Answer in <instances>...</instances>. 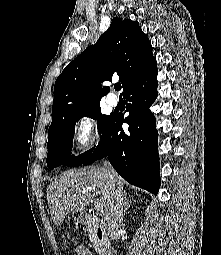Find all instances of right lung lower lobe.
Returning a JSON list of instances; mask_svg holds the SVG:
<instances>
[{
  "label": "right lung lower lobe",
  "instance_id": "1",
  "mask_svg": "<svg viewBox=\"0 0 221 255\" xmlns=\"http://www.w3.org/2000/svg\"><path fill=\"white\" fill-rule=\"evenodd\" d=\"M155 58L124 90L129 116L113 114L98 146L82 163L89 165L108 157L126 181L157 195L160 184L158 132L149 107L157 96ZM128 123V131L122 124Z\"/></svg>",
  "mask_w": 221,
  "mask_h": 255
}]
</instances>
